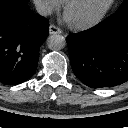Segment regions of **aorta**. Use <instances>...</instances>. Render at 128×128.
<instances>
[{
  "instance_id": "obj_1",
  "label": "aorta",
  "mask_w": 128,
  "mask_h": 128,
  "mask_svg": "<svg viewBox=\"0 0 128 128\" xmlns=\"http://www.w3.org/2000/svg\"><path fill=\"white\" fill-rule=\"evenodd\" d=\"M65 37L60 34H53L47 39V46L50 50L58 51L65 47Z\"/></svg>"
}]
</instances>
